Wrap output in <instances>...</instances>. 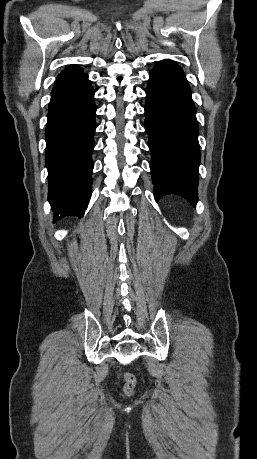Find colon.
I'll use <instances>...</instances> for the list:
<instances>
[{
    "mask_svg": "<svg viewBox=\"0 0 257 459\" xmlns=\"http://www.w3.org/2000/svg\"><path fill=\"white\" fill-rule=\"evenodd\" d=\"M122 379L124 381V392L128 395H131L134 392L136 387V379L132 374L124 373L122 375Z\"/></svg>",
    "mask_w": 257,
    "mask_h": 459,
    "instance_id": "obj_1",
    "label": "colon"
}]
</instances>
